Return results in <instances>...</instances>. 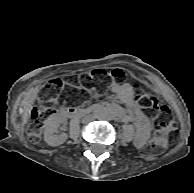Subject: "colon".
I'll return each mask as SVG.
<instances>
[{
  "label": "colon",
  "instance_id": "5ec220e1",
  "mask_svg": "<svg viewBox=\"0 0 194 193\" xmlns=\"http://www.w3.org/2000/svg\"><path fill=\"white\" fill-rule=\"evenodd\" d=\"M124 69L115 67L109 70L97 68L90 73L81 76L71 75L65 81L59 78L48 80L38 98L37 105L32 109L28 124V136L32 141H38L40 130L44 120L56 110L59 105L67 104L71 98L100 96L107 86L108 80H120L124 78ZM94 81V90L84 84ZM138 88L139 84L135 83ZM65 90V94H63ZM137 103L144 109L146 115L152 119H160L154 130V136L144 148L147 156L161 154L166 146L173 140L176 127L171 119V110L167 105L158 102L152 94H141L137 97Z\"/></svg>",
  "mask_w": 194,
  "mask_h": 193
}]
</instances>
